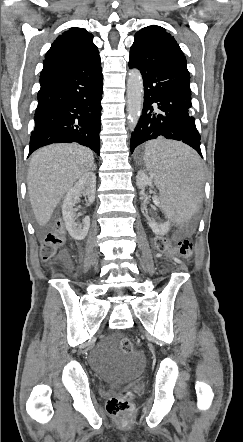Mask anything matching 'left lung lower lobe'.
Segmentation results:
<instances>
[{
	"label": "left lung lower lobe",
	"instance_id": "0a47b994",
	"mask_svg": "<svg viewBox=\"0 0 243 442\" xmlns=\"http://www.w3.org/2000/svg\"><path fill=\"white\" fill-rule=\"evenodd\" d=\"M129 67L140 70L144 84V105L132 133L130 149L156 138L182 141L201 156L200 135L190 115V75L183 53L135 39L130 49Z\"/></svg>",
	"mask_w": 243,
	"mask_h": 442
}]
</instances>
